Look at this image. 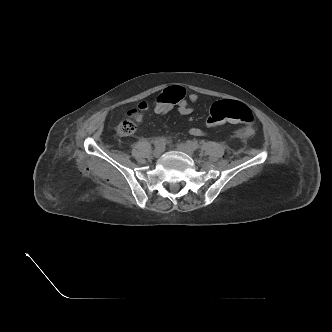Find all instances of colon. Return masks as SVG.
Here are the masks:
<instances>
[{"instance_id": "obj_1", "label": "colon", "mask_w": 332, "mask_h": 332, "mask_svg": "<svg viewBox=\"0 0 332 332\" xmlns=\"http://www.w3.org/2000/svg\"><path fill=\"white\" fill-rule=\"evenodd\" d=\"M184 90L179 86H172L165 89L157 98V102L161 103H177L184 97ZM150 106L149 102H141L138 107L129 111V115L133 119L123 120L118 131L125 136L131 135L136 130V122L139 111L147 110ZM225 122L252 124L254 116L252 111L243 103L233 100H219L213 103L210 108L206 126L216 127Z\"/></svg>"}]
</instances>
